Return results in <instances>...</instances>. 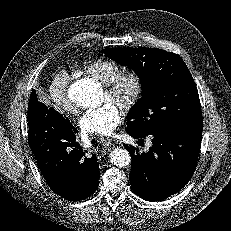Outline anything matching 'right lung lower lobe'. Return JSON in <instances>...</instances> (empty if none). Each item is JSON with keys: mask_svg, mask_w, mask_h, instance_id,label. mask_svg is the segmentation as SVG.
<instances>
[{"mask_svg": "<svg viewBox=\"0 0 231 231\" xmlns=\"http://www.w3.org/2000/svg\"><path fill=\"white\" fill-rule=\"evenodd\" d=\"M28 107L29 147L50 189L69 201L93 194L99 184V166L96 155L76 142L77 129L66 116L39 102L34 90Z\"/></svg>", "mask_w": 231, "mask_h": 231, "instance_id": "98d812e1", "label": "right lung lower lobe"}]
</instances>
